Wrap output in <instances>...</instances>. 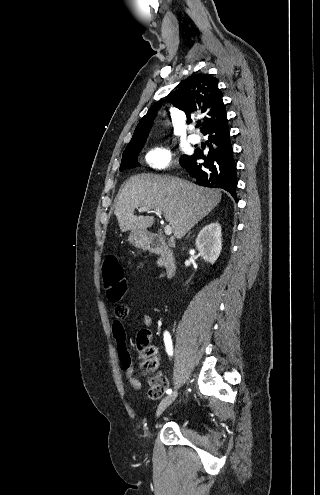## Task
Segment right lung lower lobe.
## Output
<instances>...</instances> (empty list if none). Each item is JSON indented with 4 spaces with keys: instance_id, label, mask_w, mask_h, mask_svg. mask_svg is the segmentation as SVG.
<instances>
[{
    "instance_id": "1",
    "label": "right lung lower lobe",
    "mask_w": 320,
    "mask_h": 495,
    "mask_svg": "<svg viewBox=\"0 0 320 495\" xmlns=\"http://www.w3.org/2000/svg\"><path fill=\"white\" fill-rule=\"evenodd\" d=\"M208 137L209 153L205 156L201 151L187 156L180 165L196 179L197 183L206 187L222 188L236 200V163L230 141L228 120L203 132ZM203 159L204 163H197Z\"/></svg>"
}]
</instances>
